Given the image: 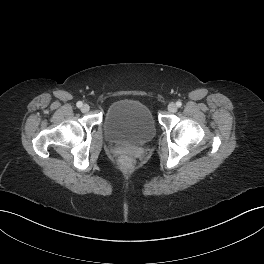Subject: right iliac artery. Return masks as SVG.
<instances>
[{
  "instance_id": "1",
  "label": "right iliac artery",
  "mask_w": 264,
  "mask_h": 264,
  "mask_svg": "<svg viewBox=\"0 0 264 264\" xmlns=\"http://www.w3.org/2000/svg\"><path fill=\"white\" fill-rule=\"evenodd\" d=\"M76 105L78 108H80V107H82L83 103L81 101H78Z\"/></svg>"
}]
</instances>
